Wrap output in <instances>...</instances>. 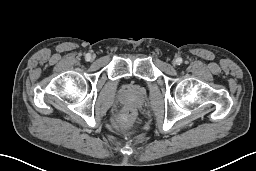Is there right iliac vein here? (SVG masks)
<instances>
[{
	"label": "right iliac vein",
	"mask_w": 256,
	"mask_h": 171,
	"mask_svg": "<svg viewBox=\"0 0 256 171\" xmlns=\"http://www.w3.org/2000/svg\"><path fill=\"white\" fill-rule=\"evenodd\" d=\"M91 59L93 60V59H94V56H92Z\"/></svg>",
	"instance_id": "right-iliac-vein-1"
}]
</instances>
